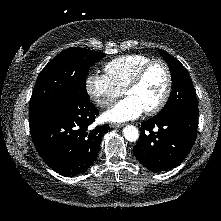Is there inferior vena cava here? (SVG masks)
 Returning <instances> with one entry per match:
<instances>
[{"instance_id":"602c4592","label":"inferior vena cava","mask_w":221,"mask_h":221,"mask_svg":"<svg viewBox=\"0 0 221 221\" xmlns=\"http://www.w3.org/2000/svg\"><path fill=\"white\" fill-rule=\"evenodd\" d=\"M105 105L109 107L111 104L108 102H105Z\"/></svg>"}]
</instances>
